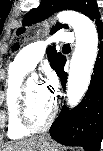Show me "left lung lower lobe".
Masks as SVG:
<instances>
[{"label": "left lung lower lobe", "instance_id": "0a47b994", "mask_svg": "<svg viewBox=\"0 0 103 151\" xmlns=\"http://www.w3.org/2000/svg\"><path fill=\"white\" fill-rule=\"evenodd\" d=\"M97 31L99 51L88 91L76 108L64 107L50 128L52 138L59 143L86 151H99L103 137V28ZM64 64L57 73L62 87L67 81Z\"/></svg>", "mask_w": 103, "mask_h": 151}]
</instances>
